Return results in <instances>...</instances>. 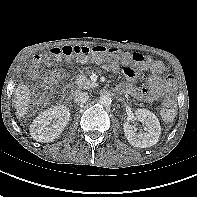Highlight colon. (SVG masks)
<instances>
[{
	"instance_id": "5ec220e1",
	"label": "colon",
	"mask_w": 197,
	"mask_h": 197,
	"mask_svg": "<svg viewBox=\"0 0 197 197\" xmlns=\"http://www.w3.org/2000/svg\"><path fill=\"white\" fill-rule=\"evenodd\" d=\"M62 58L71 59L77 58L80 60H86L92 58L95 61H109L111 63H117L119 61L129 60L137 68H142L147 63V58L139 53H134L129 55L118 49H109L104 46H62L55 47L50 49L49 53L44 56H36L35 63H48L51 64L55 61H58ZM60 73L51 72L45 75L43 83L39 85L35 90V95L37 97L44 96L49 89V86L52 85ZM176 114L175 105L173 102H167L162 108V117L165 121L170 122L174 119Z\"/></svg>"
}]
</instances>
